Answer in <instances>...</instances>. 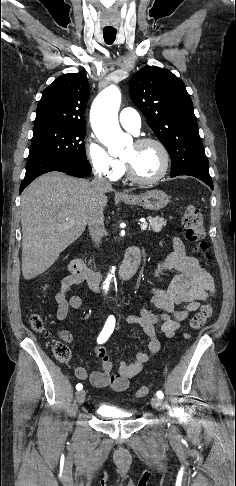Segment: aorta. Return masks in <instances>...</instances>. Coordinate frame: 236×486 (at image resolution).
<instances>
[{
    "mask_svg": "<svg viewBox=\"0 0 236 486\" xmlns=\"http://www.w3.org/2000/svg\"><path fill=\"white\" fill-rule=\"evenodd\" d=\"M121 103V92L117 86L111 85L104 89L94 101L90 120L97 138L107 148L110 155H118L123 149L125 142L130 137L125 134L118 122V111ZM115 268L108 274L104 281L103 288L109 289Z\"/></svg>",
    "mask_w": 236,
    "mask_h": 486,
    "instance_id": "obj_1",
    "label": "aorta"
}]
</instances>
